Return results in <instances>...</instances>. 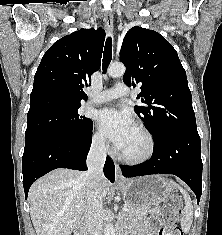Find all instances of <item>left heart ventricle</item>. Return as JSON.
I'll return each instance as SVG.
<instances>
[{"mask_svg":"<svg viewBox=\"0 0 222 235\" xmlns=\"http://www.w3.org/2000/svg\"><path fill=\"white\" fill-rule=\"evenodd\" d=\"M147 150L148 141L146 137L141 131L134 127L126 144L120 150V153L131 157H138L145 154Z\"/></svg>","mask_w":222,"mask_h":235,"instance_id":"left-heart-ventricle-1","label":"left heart ventricle"}]
</instances>
